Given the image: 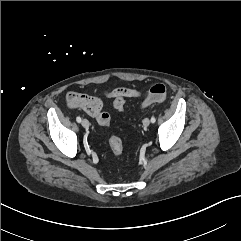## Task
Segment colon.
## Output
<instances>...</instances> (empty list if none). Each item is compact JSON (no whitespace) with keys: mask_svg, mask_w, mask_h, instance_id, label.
Wrapping results in <instances>:
<instances>
[{"mask_svg":"<svg viewBox=\"0 0 241 241\" xmlns=\"http://www.w3.org/2000/svg\"><path fill=\"white\" fill-rule=\"evenodd\" d=\"M167 96V88L164 84L158 83L151 87L149 93L142 101V106L149 105L153 102L163 101ZM125 97L120 93V91L116 92V96L113 101V106L116 110L122 111L125 107ZM97 122L102 126H109L111 122V117L109 113L102 111L97 116ZM109 145L111 151L114 155L119 156L123 152V142L118 136H111L109 139Z\"/></svg>","mask_w":241,"mask_h":241,"instance_id":"1","label":"colon"}]
</instances>
